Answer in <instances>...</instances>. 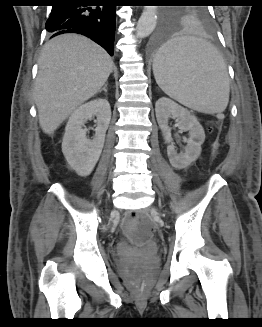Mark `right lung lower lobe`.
<instances>
[{"label": "right lung lower lobe", "mask_w": 262, "mask_h": 327, "mask_svg": "<svg viewBox=\"0 0 262 327\" xmlns=\"http://www.w3.org/2000/svg\"><path fill=\"white\" fill-rule=\"evenodd\" d=\"M46 30L54 36L78 33L102 46L111 56L114 49L116 6H81L78 0H55Z\"/></svg>", "instance_id": "1"}]
</instances>
